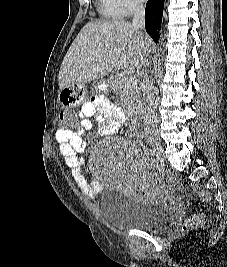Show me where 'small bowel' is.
I'll list each match as a JSON object with an SVG mask.
<instances>
[{"label": "small bowel", "mask_w": 227, "mask_h": 267, "mask_svg": "<svg viewBox=\"0 0 227 267\" xmlns=\"http://www.w3.org/2000/svg\"><path fill=\"white\" fill-rule=\"evenodd\" d=\"M125 122L123 110L104 96H96L85 102L77 113V123L71 130L56 131L65 163L81 192L88 198L97 196L100 183L90 179L82 169L81 153L86 150L83 136L97 126L99 134L110 136L117 133ZM138 193L143 197L154 195L155 190L148 184L137 185Z\"/></svg>", "instance_id": "c3829d8e"}]
</instances>
